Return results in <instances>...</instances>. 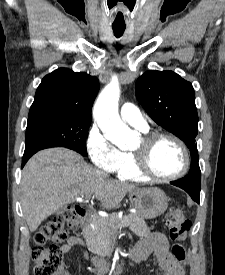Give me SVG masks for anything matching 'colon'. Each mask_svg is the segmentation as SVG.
Segmentation results:
<instances>
[{
    "instance_id": "colon-1",
    "label": "colon",
    "mask_w": 225,
    "mask_h": 275,
    "mask_svg": "<svg viewBox=\"0 0 225 275\" xmlns=\"http://www.w3.org/2000/svg\"><path fill=\"white\" fill-rule=\"evenodd\" d=\"M81 208L69 207L64 214L49 220L36 233L32 250L34 261V275H63V253L58 246L69 237L65 225L69 228H77L81 221ZM170 237L174 241L172 254L174 258L184 264L186 260V249L184 241L191 228V222L184 217L181 207L173 209L166 219ZM53 242L46 247L45 244Z\"/></svg>"
}]
</instances>
